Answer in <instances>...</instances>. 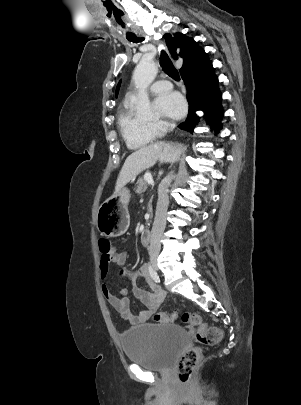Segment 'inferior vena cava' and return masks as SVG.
I'll return each instance as SVG.
<instances>
[{
	"label": "inferior vena cava",
	"instance_id": "602c4592",
	"mask_svg": "<svg viewBox=\"0 0 301 405\" xmlns=\"http://www.w3.org/2000/svg\"><path fill=\"white\" fill-rule=\"evenodd\" d=\"M174 127V123L169 124L170 129H173ZM172 179V175L167 176L158 191L156 214L150 238V254H158L161 249L160 240L165 229L167 209L169 205L168 187L170 186Z\"/></svg>",
	"mask_w": 301,
	"mask_h": 405
}]
</instances>
